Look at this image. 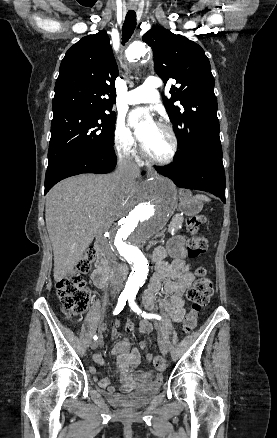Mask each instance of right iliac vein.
<instances>
[{
    "label": "right iliac vein",
    "instance_id": "right-iliac-vein-1",
    "mask_svg": "<svg viewBox=\"0 0 277 438\" xmlns=\"http://www.w3.org/2000/svg\"><path fill=\"white\" fill-rule=\"evenodd\" d=\"M99 342L98 341H92L91 342V349L95 350L98 347Z\"/></svg>",
    "mask_w": 277,
    "mask_h": 438
}]
</instances>
